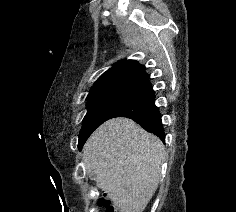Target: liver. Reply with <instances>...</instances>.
Here are the masks:
<instances>
[{"label":"liver","instance_id":"liver-1","mask_svg":"<svg viewBox=\"0 0 236 212\" xmlns=\"http://www.w3.org/2000/svg\"><path fill=\"white\" fill-rule=\"evenodd\" d=\"M164 145L134 121H106L83 147V166L121 212H143L154 195Z\"/></svg>","mask_w":236,"mask_h":212}]
</instances>
